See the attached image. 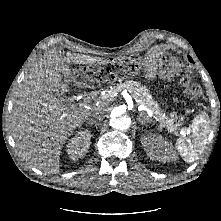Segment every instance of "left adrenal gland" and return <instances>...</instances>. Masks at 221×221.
Segmentation results:
<instances>
[{
    "label": "left adrenal gland",
    "mask_w": 221,
    "mask_h": 221,
    "mask_svg": "<svg viewBox=\"0 0 221 221\" xmlns=\"http://www.w3.org/2000/svg\"><path fill=\"white\" fill-rule=\"evenodd\" d=\"M137 120L141 123V124H144L145 122H151L152 119H150L148 116L147 117H144L143 119L141 118V114L140 116H138Z\"/></svg>",
    "instance_id": "obj_1"
}]
</instances>
